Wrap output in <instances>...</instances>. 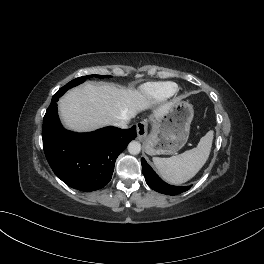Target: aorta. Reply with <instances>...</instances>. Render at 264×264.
Listing matches in <instances>:
<instances>
[{
	"label": "aorta",
	"mask_w": 264,
	"mask_h": 264,
	"mask_svg": "<svg viewBox=\"0 0 264 264\" xmlns=\"http://www.w3.org/2000/svg\"><path fill=\"white\" fill-rule=\"evenodd\" d=\"M128 151L133 155L139 154L141 151V144L137 141H131L128 145Z\"/></svg>",
	"instance_id": "1"
}]
</instances>
